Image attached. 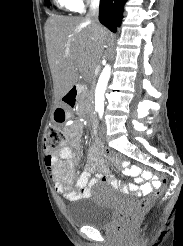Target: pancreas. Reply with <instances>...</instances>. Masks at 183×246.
I'll return each instance as SVG.
<instances>
[{
  "label": "pancreas",
  "mask_w": 183,
  "mask_h": 246,
  "mask_svg": "<svg viewBox=\"0 0 183 246\" xmlns=\"http://www.w3.org/2000/svg\"><path fill=\"white\" fill-rule=\"evenodd\" d=\"M87 97H88V94H87L86 91H84V92L82 93V95L80 96V104H79L80 107H83V106L86 104L85 99H86Z\"/></svg>",
  "instance_id": "obj_1"
}]
</instances>
